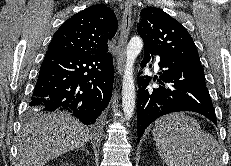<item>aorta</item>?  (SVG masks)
<instances>
[{
  "instance_id": "1",
  "label": "aorta",
  "mask_w": 231,
  "mask_h": 166,
  "mask_svg": "<svg viewBox=\"0 0 231 166\" xmlns=\"http://www.w3.org/2000/svg\"><path fill=\"white\" fill-rule=\"evenodd\" d=\"M142 48V39L138 36H134L130 39L126 49V65L122 82V107L126 120L132 118L135 109L133 66Z\"/></svg>"
}]
</instances>
